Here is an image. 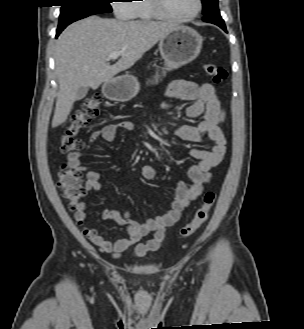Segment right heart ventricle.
Listing matches in <instances>:
<instances>
[{"mask_svg":"<svg viewBox=\"0 0 304 329\" xmlns=\"http://www.w3.org/2000/svg\"><path fill=\"white\" fill-rule=\"evenodd\" d=\"M138 4H132L133 6V18L140 21H152L157 18L154 13L150 0H137Z\"/></svg>","mask_w":304,"mask_h":329,"instance_id":"1","label":"right heart ventricle"}]
</instances>
